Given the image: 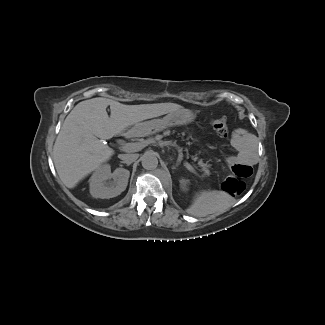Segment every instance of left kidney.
Listing matches in <instances>:
<instances>
[{"label": "left kidney", "instance_id": "5707ae66", "mask_svg": "<svg viewBox=\"0 0 325 325\" xmlns=\"http://www.w3.org/2000/svg\"><path fill=\"white\" fill-rule=\"evenodd\" d=\"M188 180L187 179H181L180 180V187L183 191L187 190V185H188Z\"/></svg>", "mask_w": 325, "mask_h": 325}]
</instances>
